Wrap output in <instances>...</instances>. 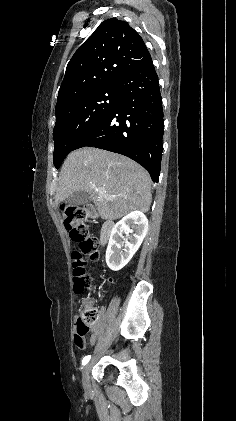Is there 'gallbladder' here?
Instances as JSON below:
<instances>
[{
    "instance_id": "gallbladder-1",
    "label": "gallbladder",
    "mask_w": 236,
    "mask_h": 421,
    "mask_svg": "<svg viewBox=\"0 0 236 421\" xmlns=\"http://www.w3.org/2000/svg\"><path fill=\"white\" fill-rule=\"evenodd\" d=\"M91 198L85 190H76L67 198H64L65 204H73V206H77V204H85V202H90Z\"/></svg>"
}]
</instances>
